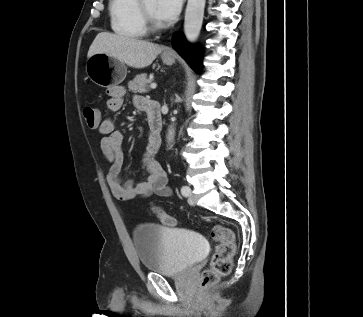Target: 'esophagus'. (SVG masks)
Instances as JSON below:
<instances>
[{
    "label": "esophagus",
    "mask_w": 363,
    "mask_h": 317,
    "mask_svg": "<svg viewBox=\"0 0 363 317\" xmlns=\"http://www.w3.org/2000/svg\"><path fill=\"white\" fill-rule=\"evenodd\" d=\"M165 54H166V55H173V54H172V52H171L170 50H166V51H165Z\"/></svg>",
    "instance_id": "obj_1"
}]
</instances>
